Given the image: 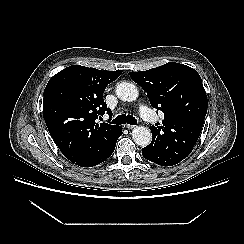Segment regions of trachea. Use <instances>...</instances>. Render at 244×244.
I'll list each match as a JSON object with an SVG mask.
<instances>
[{"instance_id":"1","label":"trachea","mask_w":244,"mask_h":244,"mask_svg":"<svg viewBox=\"0 0 244 244\" xmlns=\"http://www.w3.org/2000/svg\"><path fill=\"white\" fill-rule=\"evenodd\" d=\"M112 124L121 125L128 123L130 125H137V120L132 115H119L112 120Z\"/></svg>"}]
</instances>
